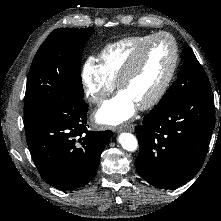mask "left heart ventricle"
Listing matches in <instances>:
<instances>
[{
  "label": "left heart ventricle",
  "instance_id": "b2bd125f",
  "mask_svg": "<svg viewBox=\"0 0 221 221\" xmlns=\"http://www.w3.org/2000/svg\"><path fill=\"white\" fill-rule=\"evenodd\" d=\"M173 58V46L169 38L161 37L146 49L137 73L123 86L125 93L139 106L150 99L165 79Z\"/></svg>",
  "mask_w": 221,
  "mask_h": 221
}]
</instances>
